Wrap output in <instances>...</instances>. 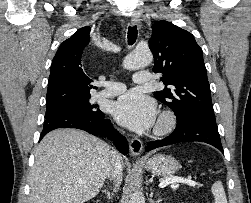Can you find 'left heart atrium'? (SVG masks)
<instances>
[{"label": "left heart atrium", "mask_w": 251, "mask_h": 203, "mask_svg": "<svg viewBox=\"0 0 251 203\" xmlns=\"http://www.w3.org/2000/svg\"><path fill=\"white\" fill-rule=\"evenodd\" d=\"M118 121L134 131L150 128L156 119L154 101L138 90H132L121 96L114 106Z\"/></svg>", "instance_id": "left-heart-atrium-1"}]
</instances>
